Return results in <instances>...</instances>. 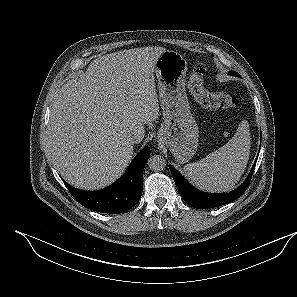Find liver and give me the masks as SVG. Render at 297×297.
I'll return each instance as SVG.
<instances>
[{"instance_id": "obj_1", "label": "liver", "mask_w": 297, "mask_h": 297, "mask_svg": "<svg viewBox=\"0 0 297 297\" xmlns=\"http://www.w3.org/2000/svg\"><path fill=\"white\" fill-rule=\"evenodd\" d=\"M165 50L141 47L100 56L81 78L61 87L50 113L48 147L69 184L98 190L125 171L134 152L128 135L144 137V124L159 115L153 73Z\"/></svg>"}]
</instances>
